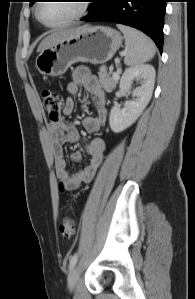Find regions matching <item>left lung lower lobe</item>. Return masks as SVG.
I'll return each mask as SVG.
<instances>
[{"label":"left lung lower lobe","mask_w":195,"mask_h":299,"mask_svg":"<svg viewBox=\"0 0 195 299\" xmlns=\"http://www.w3.org/2000/svg\"><path fill=\"white\" fill-rule=\"evenodd\" d=\"M83 21L115 22L139 29L163 49V26L167 0H93Z\"/></svg>","instance_id":"left-lung-lower-lobe-1"}]
</instances>
